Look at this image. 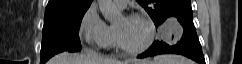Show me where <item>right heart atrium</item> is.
I'll return each mask as SVG.
<instances>
[{
    "label": "right heart atrium",
    "instance_id": "d8ad5b80",
    "mask_svg": "<svg viewBox=\"0 0 242 64\" xmlns=\"http://www.w3.org/2000/svg\"><path fill=\"white\" fill-rule=\"evenodd\" d=\"M78 34L84 43L99 46L109 45L115 37L114 31L101 19L94 6L83 14Z\"/></svg>",
    "mask_w": 242,
    "mask_h": 64
}]
</instances>
